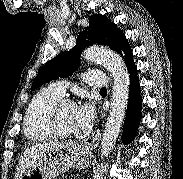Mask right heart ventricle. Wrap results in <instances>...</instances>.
Listing matches in <instances>:
<instances>
[{
    "instance_id": "1",
    "label": "right heart ventricle",
    "mask_w": 183,
    "mask_h": 179,
    "mask_svg": "<svg viewBox=\"0 0 183 179\" xmlns=\"http://www.w3.org/2000/svg\"><path fill=\"white\" fill-rule=\"evenodd\" d=\"M62 96L50 87L40 90L30 102L24 120V133L34 142L53 138L47 126V114L51 106Z\"/></svg>"
}]
</instances>
